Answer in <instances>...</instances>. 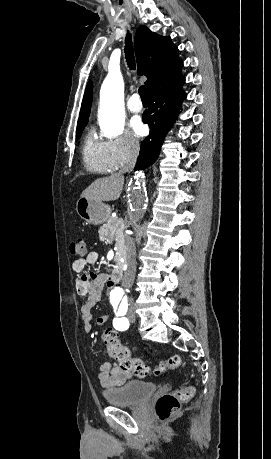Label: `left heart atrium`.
Segmentation results:
<instances>
[{"instance_id":"obj_1","label":"left heart atrium","mask_w":271,"mask_h":459,"mask_svg":"<svg viewBox=\"0 0 271 459\" xmlns=\"http://www.w3.org/2000/svg\"><path fill=\"white\" fill-rule=\"evenodd\" d=\"M132 129H133L135 135L138 136V137L142 136L143 133H144V127H143V125H142V123H141L139 120H137V119L134 120V121L132 122Z\"/></svg>"}]
</instances>
